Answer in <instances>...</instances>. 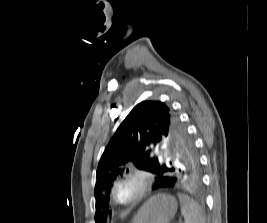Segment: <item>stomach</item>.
<instances>
[{
	"label": "stomach",
	"mask_w": 267,
	"mask_h": 223,
	"mask_svg": "<svg viewBox=\"0 0 267 223\" xmlns=\"http://www.w3.org/2000/svg\"><path fill=\"white\" fill-rule=\"evenodd\" d=\"M177 207L175 197L163 193L154 195L138 210L132 223H169Z\"/></svg>",
	"instance_id": "1"
}]
</instances>
